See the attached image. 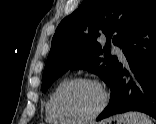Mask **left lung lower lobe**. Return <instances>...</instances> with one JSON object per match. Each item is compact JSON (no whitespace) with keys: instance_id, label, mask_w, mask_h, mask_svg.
Instances as JSON below:
<instances>
[{"instance_id":"left-lung-lower-lobe-1","label":"left lung lower lobe","mask_w":156,"mask_h":124,"mask_svg":"<svg viewBox=\"0 0 156 124\" xmlns=\"http://www.w3.org/2000/svg\"><path fill=\"white\" fill-rule=\"evenodd\" d=\"M122 52L131 71H123L118 64L109 84L110 102L97 121L131 110L156 119V0L123 44Z\"/></svg>"}]
</instances>
